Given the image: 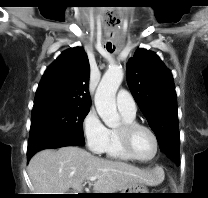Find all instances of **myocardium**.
Segmentation results:
<instances>
[{
  "label": "myocardium",
  "mask_w": 208,
  "mask_h": 198,
  "mask_svg": "<svg viewBox=\"0 0 208 198\" xmlns=\"http://www.w3.org/2000/svg\"><path fill=\"white\" fill-rule=\"evenodd\" d=\"M137 129H144V130L148 131L151 134V136L153 137V140L155 143V151H154L153 155L148 159H142V158L138 157L132 149L131 138H132L133 133ZM117 134H118L120 143H121L124 151L135 161L142 162V163L150 162L155 159V157L157 156V154L159 152L160 145H159L158 136L151 127H149L145 124H142V123H139L136 121L123 122L122 125L117 129Z\"/></svg>",
  "instance_id": "myocardium-1"
}]
</instances>
